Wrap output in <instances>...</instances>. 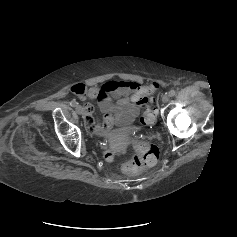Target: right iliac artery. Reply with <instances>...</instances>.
I'll list each match as a JSON object with an SVG mask.
<instances>
[{
	"label": "right iliac artery",
	"instance_id": "obj_1",
	"mask_svg": "<svg viewBox=\"0 0 237 237\" xmlns=\"http://www.w3.org/2000/svg\"><path fill=\"white\" fill-rule=\"evenodd\" d=\"M70 105H71L72 107H76V106L78 105V102H77L76 100H72V101L70 102Z\"/></svg>",
	"mask_w": 237,
	"mask_h": 237
}]
</instances>
